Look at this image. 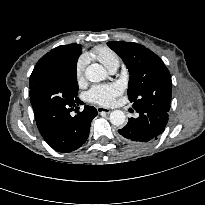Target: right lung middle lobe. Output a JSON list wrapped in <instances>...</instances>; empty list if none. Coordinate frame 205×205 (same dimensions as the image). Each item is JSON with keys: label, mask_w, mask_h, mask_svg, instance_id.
Returning <instances> with one entry per match:
<instances>
[{"label": "right lung middle lobe", "mask_w": 205, "mask_h": 205, "mask_svg": "<svg viewBox=\"0 0 205 205\" xmlns=\"http://www.w3.org/2000/svg\"><path fill=\"white\" fill-rule=\"evenodd\" d=\"M68 74H69L71 80L73 81L74 85L76 86V88H78L76 67H71L68 70Z\"/></svg>", "instance_id": "obj_1"}]
</instances>
